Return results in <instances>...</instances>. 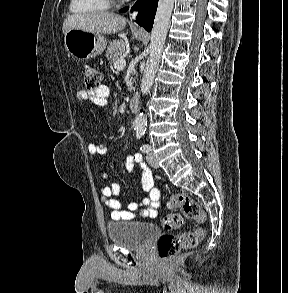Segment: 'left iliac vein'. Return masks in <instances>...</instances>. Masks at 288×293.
<instances>
[{
	"label": "left iliac vein",
	"mask_w": 288,
	"mask_h": 293,
	"mask_svg": "<svg viewBox=\"0 0 288 293\" xmlns=\"http://www.w3.org/2000/svg\"><path fill=\"white\" fill-rule=\"evenodd\" d=\"M146 158H147L148 163L152 167H154V168H157L158 167V161H157L155 155L153 154V152L151 150L147 153Z\"/></svg>",
	"instance_id": "left-iliac-vein-1"
}]
</instances>
